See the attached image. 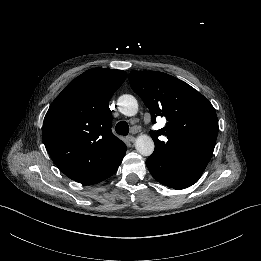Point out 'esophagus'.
<instances>
[{"mask_svg":"<svg viewBox=\"0 0 261 261\" xmlns=\"http://www.w3.org/2000/svg\"><path fill=\"white\" fill-rule=\"evenodd\" d=\"M127 139H128L131 143L135 142V137L132 136V135H131V136H128Z\"/></svg>","mask_w":261,"mask_h":261,"instance_id":"obj_1","label":"esophagus"}]
</instances>
